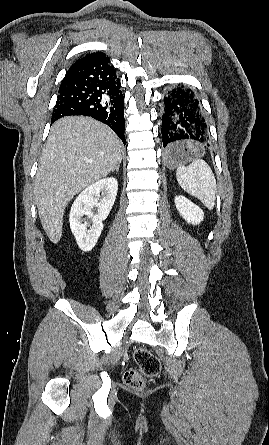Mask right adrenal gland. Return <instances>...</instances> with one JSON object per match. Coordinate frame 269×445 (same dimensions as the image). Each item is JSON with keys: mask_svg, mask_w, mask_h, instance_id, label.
I'll return each mask as SVG.
<instances>
[{"mask_svg": "<svg viewBox=\"0 0 269 445\" xmlns=\"http://www.w3.org/2000/svg\"><path fill=\"white\" fill-rule=\"evenodd\" d=\"M119 167H120V164H119V165L116 167V169H115V172H116V173L119 172ZM112 172H114V170H113Z\"/></svg>", "mask_w": 269, "mask_h": 445, "instance_id": "obj_1", "label": "right adrenal gland"}]
</instances>
